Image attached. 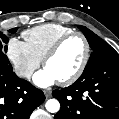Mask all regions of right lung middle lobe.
Returning <instances> with one entry per match:
<instances>
[{
	"mask_svg": "<svg viewBox=\"0 0 119 119\" xmlns=\"http://www.w3.org/2000/svg\"><path fill=\"white\" fill-rule=\"evenodd\" d=\"M17 28L10 29V33L16 32ZM8 42V38L0 32V71L12 72V66L6 56L7 45H4Z\"/></svg>",
	"mask_w": 119,
	"mask_h": 119,
	"instance_id": "obj_1",
	"label": "right lung middle lobe"
}]
</instances>
